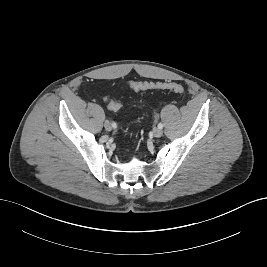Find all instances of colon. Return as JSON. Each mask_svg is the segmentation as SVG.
Masks as SVG:
<instances>
[{
  "instance_id": "colon-1",
  "label": "colon",
  "mask_w": 267,
  "mask_h": 267,
  "mask_svg": "<svg viewBox=\"0 0 267 267\" xmlns=\"http://www.w3.org/2000/svg\"><path fill=\"white\" fill-rule=\"evenodd\" d=\"M128 86L135 91H148V90H170L176 93H183L184 87L178 83H148V82H138V81H130L128 82ZM122 103L117 101L108 102V108L111 111H118L122 108Z\"/></svg>"
}]
</instances>
